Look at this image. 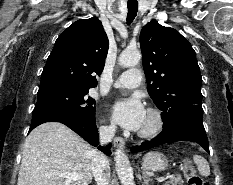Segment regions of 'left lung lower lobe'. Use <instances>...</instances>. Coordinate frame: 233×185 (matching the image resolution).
Listing matches in <instances>:
<instances>
[{"label":"left lung lower lobe","instance_id":"obj_1","mask_svg":"<svg viewBox=\"0 0 233 185\" xmlns=\"http://www.w3.org/2000/svg\"><path fill=\"white\" fill-rule=\"evenodd\" d=\"M203 109L201 105H195L182 114L170 126L163 128V131L151 141L142 143L140 146H133L132 152L148 150L155 146L175 142L192 141L200 144L209 153V144L202 121Z\"/></svg>","mask_w":233,"mask_h":185}]
</instances>
